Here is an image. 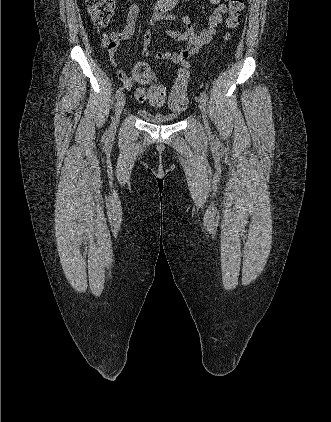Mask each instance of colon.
<instances>
[{
    "instance_id": "obj_1",
    "label": "colon",
    "mask_w": 331,
    "mask_h": 422,
    "mask_svg": "<svg viewBox=\"0 0 331 422\" xmlns=\"http://www.w3.org/2000/svg\"><path fill=\"white\" fill-rule=\"evenodd\" d=\"M88 13L91 20L98 27H105L118 8L117 0H86ZM244 9V0H228V15L226 26L228 29H235L241 21ZM133 75L142 84L147 86L146 91L139 89L137 97L143 100L146 96L155 103H163L166 98V90L156 83L151 68L145 63H137L133 68ZM190 72L187 63L183 64L174 82V86L168 97V106L172 112H182L187 108Z\"/></svg>"
}]
</instances>
